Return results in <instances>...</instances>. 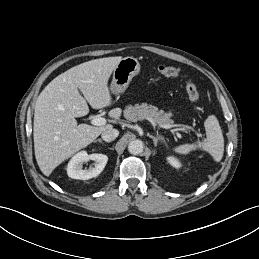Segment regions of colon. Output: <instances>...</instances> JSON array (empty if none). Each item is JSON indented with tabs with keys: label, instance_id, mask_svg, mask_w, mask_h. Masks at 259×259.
Wrapping results in <instances>:
<instances>
[{
	"label": "colon",
	"instance_id": "5ec220e1",
	"mask_svg": "<svg viewBox=\"0 0 259 259\" xmlns=\"http://www.w3.org/2000/svg\"><path fill=\"white\" fill-rule=\"evenodd\" d=\"M157 70L159 74L165 77H183L181 70L172 66L160 65ZM185 89L189 99L192 102H200V92L194 81L187 79L185 82Z\"/></svg>",
	"mask_w": 259,
	"mask_h": 259
}]
</instances>
